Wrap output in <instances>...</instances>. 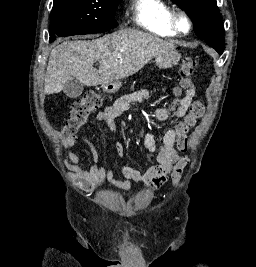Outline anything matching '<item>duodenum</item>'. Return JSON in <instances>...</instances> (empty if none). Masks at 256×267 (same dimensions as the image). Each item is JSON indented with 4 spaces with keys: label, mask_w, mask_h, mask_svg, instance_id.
I'll return each instance as SVG.
<instances>
[{
    "label": "duodenum",
    "mask_w": 256,
    "mask_h": 267,
    "mask_svg": "<svg viewBox=\"0 0 256 267\" xmlns=\"http://www.w3.org/2000/svg\"><path fill=\"white\" fill-rule=\"evenodd\" d=\"M100 88L103 90V94H114V90L122 88V81H117L116 78H107Z\"/></svg>",
    "instance_id": "obj_1"
}]
</instances>
